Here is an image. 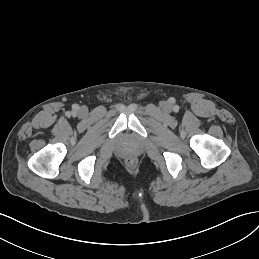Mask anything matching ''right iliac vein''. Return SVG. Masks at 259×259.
<instances>
[{"label":"right iliac vein","instance_id":"63e3f726","mask_svg":"<svg viewBox=\"0 0 259 259\" xmlns=\"http://www.w3.org/2000/svg\"><path fill=\"white\" fill-rule=\"evenodd\" d=\"M85 113H86V109L85 108L80 109V114L84 115Z\"/></svg>","mask_w":259,"mask_h":259}]
</instances>
